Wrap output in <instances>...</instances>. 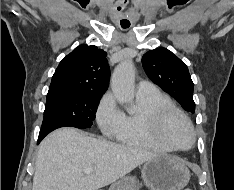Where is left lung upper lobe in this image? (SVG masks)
<instances>
[{
    "label": "left lung upper lobe",
    "instance_id": "5c2ea615",
    "mask_svg": "<svg viewBox=\"0 0 234 190\" xmlns=\"http://www.w3.org/2000/svg\"><path fill=\"white\" fill-rule=\"evenodd\" d=\"M142 64L155 84L173 96L185 110L195 112L194 84L183 61L166 48H157L144 54Z\"/></svg>",
    "mask_w": 234,
    "mask_h": 190
}]
</instances>
